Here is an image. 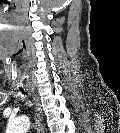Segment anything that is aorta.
<instances>
[{"label": "aorta", "mask_w": 120, "mask_h": 133, "mask_svg": "<svg viewBox=\"0 0 120 133\" xmlns=\"http://www.w3.org/2000/svg\"><path fill=\"white\" fill-rule=\"evenodd\" d=\"M30 122L27 117H19L12 121L9 125L7 130L10 133H21L27 131L29 128Z\"/></svg>", "instance_id": "1"}]
</instances>
